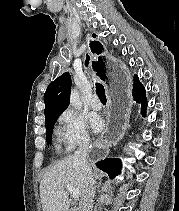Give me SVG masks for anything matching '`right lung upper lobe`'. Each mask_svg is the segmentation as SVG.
<instances>
[{"instance_id": "right-lung-upper-lobe-1", "label": "right lung upper lobe", "mask_w": 179, "mask_h": 211, "mask_svg": "<svg viewBox=\"0 0 179 211\" xmlns=\"http://www.w3.org/2000/svg\"><path fill=\"white\" fill-rule=\"evenodd\" d=\"M93 37L95 35L93 34ZM99 55L100 52H97ZM89 56L86 58L85 64H88ZM93 69L97 75L103 80L108 79V65L102 56L98 57L97 62H93ZM71 88V76L68 72L59 76L55 81L51 82L44 94L45 102V121L55 116H60L69 105Z\"/></svg>"}]
</instances>
